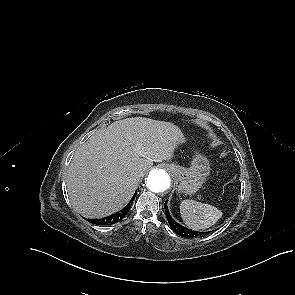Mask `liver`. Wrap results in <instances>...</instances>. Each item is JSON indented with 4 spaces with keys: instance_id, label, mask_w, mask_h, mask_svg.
Wrapping results in <instances>:
<instances>
[{
    "instance_id": "1",
    "label": "liver",
    "mask_w": 295,
    "mask_h": 295,
    "mask_svg": "<svg viewBox=\"0 0 295 295\" xmlns=\"http://www.w3.org/2000/svg\"><path fill=\"white\" fill-rule=\"evenodd\" d=\"M185 143L174 124L145 117L115 121L81 145L68 168L67 191L78 213L103 218L121 209L153 162Z\"/></svg>"
}]
</instances>
